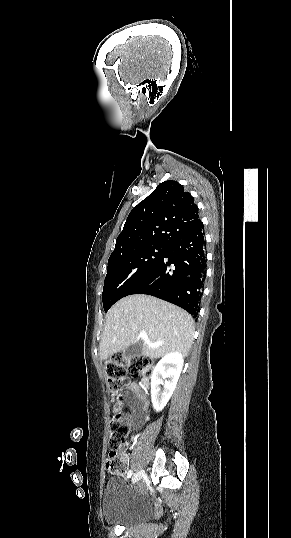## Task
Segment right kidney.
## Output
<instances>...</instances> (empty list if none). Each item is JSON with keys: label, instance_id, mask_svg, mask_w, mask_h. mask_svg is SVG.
Listing matches in <instances>:
<instances>
[{"label": "right kidney", "instance_id": "right-kidney-1", "mask_svg": "<svg viewBox=\"0 0 291 538\" xmlns=\"http://www.w3.org/2000/svg\"><path fill=\"white\" fill-rule=\"evenodd\" d=\"M183 356L179 352L166 354L155 366L151 376V400L156 411L164 409L168 403L183 367ZM167 378L165 382L163 379ZM161 385L164 389L161 391Z\"/></svg>", "mask_w": 291, "mask_h": 538}]
</instances>
